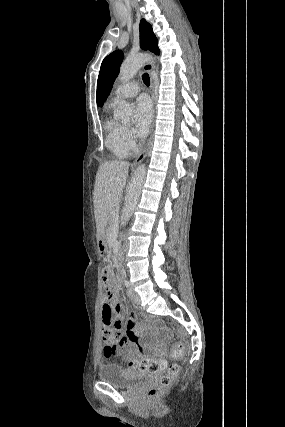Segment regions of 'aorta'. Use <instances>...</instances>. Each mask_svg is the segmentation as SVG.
I'll use <instances>...</instances> for the list:
<instances>
[{
  "label": "aorta",
  "mask_w": 285,
  "mask_h": 427,
  "mask_svg": "<svg viewBox=\"0 0 285 427\" xmlns=\"http://www.w3.org/2000/svg\"><path fill=\"white\" fill-rule=\"evenodd\" d=\"M147 60H150V57L141 53L129 55L120 67L118 78L120 80H129L133 78ZM132 112L133 106L126 101H121L118 117L123 120H128L132 115ZM145 176L146 166L145 164H142L136 169L128 187L126 203L122 216L124 223H127L133 215L134 209L140 198Z\"/></svg>",
  "instance_id": "1"
}]
</instances>
